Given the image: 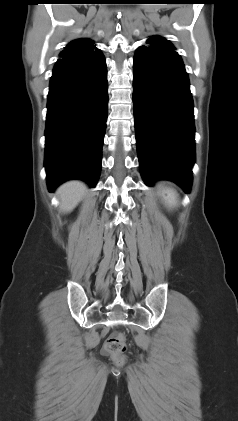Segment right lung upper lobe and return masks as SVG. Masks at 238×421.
<instances>
[{
  "mask_svg": "<svg viewBox=\"0 0 238 421\" xmlns=\"http://www.w3.org/2000/svg\"><path fill=\"white\" fill-rule=\"evenodd\" d=\"M88 54H102V52L96 48L91 40L77 39L71 41L60 55L63 58Z\"/></svg>",
  "mask_w": 238,
  "mask_h": 421,
  "instance_id": "cb5924a9",
  "label": "right lung upper lobe"
}]
</instances>
